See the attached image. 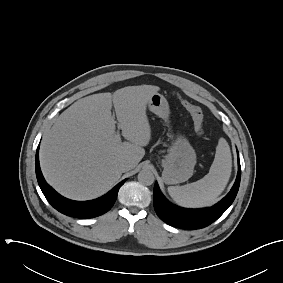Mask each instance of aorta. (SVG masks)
<instances>
[{"mask_svg": "<svg viewBox=\"0 0 283 283\" xmlns=\"http://www.w3.org/2000/svg\"><path fill=\"white\" fill-rule=\"evenodd\" d=\"M154 180H155L154 174L152 173V171L148 169H143L138 174V181L142 185H146V186L152 185Z\"/></svg>", "mask_w": 283, "mask_h": 283, "instance_id": "aorta-1", "label": "aorta"}]
</instances>
